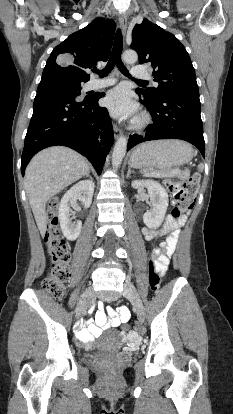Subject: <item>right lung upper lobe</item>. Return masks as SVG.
Here are the masks:
<instances>
[{
  "mask_svg": "<svg viewBox=\"0 0 233 414\" xmlns=\"http://www.w3.org/2000/svg\"><path fill=\"white\" fill-rule=\"evenodd\" d=\"M115 27L112 20L98 17L85 28L71 34L52 51L42 78L60 77L89 81L87 70L108 60Z\"/></svg>",
  "mask_w": 233,
  "mask_h": 414,
  "instance_id": "1",
  "label": "right lung upper lobe"
}]
</instances>
